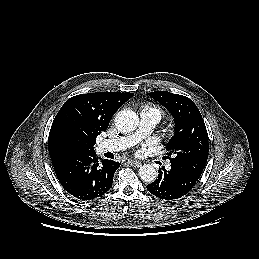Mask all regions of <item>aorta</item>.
I'll return each mask as SVG.
<instances>
[{
	"label": "aorta",
	"instance_id": "762f6f07",
	"mask_svg": "<svg viewBox=\"0 0 259 259\" xmlns=\"http://www.w3.org/2000/svg\"><path fill=\"white\" fill-rule=\"evenodd\" d=\"M139 124L138 115L129 109L119 111L115 117V125L122 133L134 131ZM139 177L144 182H153L157 178V171L151 165H143L139 169Z\"/></svg>",
	"mask_w": 259,
	"mask_h": 259
}]
</instances>
